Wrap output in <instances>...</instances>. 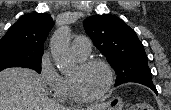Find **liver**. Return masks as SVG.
<instances>
[{
    "instance_id": "6515ba94",
    "label": "liver",
    "mask_w": 171,
    "mask_h": 110,
    "mask_svg": "<svg viewBox=\"0 0 171 110\" xmlns=\"http://www.w3.org/2000/svg\"><path fill=\"white\" fill-rule=\"evenodd\" d=\"M45 87L34 70L9 68L1 71L0 110H84L55 104L48 98Z\"/></svg>"
}]
</instances>
